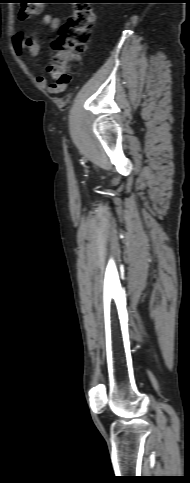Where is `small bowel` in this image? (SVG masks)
<instances>
[{
  "instance_id": "1",
  "label": "small bowel",
  "mask_w": 190,
  "mask_h": 483,
  "mask_svg": "<svg viewBox=\"0 0 190 483\" xmlns=\"http://www.w3.org/2000/svg\"><path fill=\"white\" fill-rule=\"evenodd\" d=\"M42 23L49 25V27L53 31H57L60 28L61 22L58 18L52 17L49 14H46L42 18ZM12 48L15 52L16 55L21 56L23 51L26 49L28 51V54L31 57L37 56L40 50V43L38 40L33 37V36H26L24 34L18 33L13 36L12 38ZM36 81L39 85L41 86H47L48 85V79L45 75H38L36 77ZM49 90L52 93H56L61 91L62 89H59L56 87L55 83L50 84Z\"/></svg>"
}]
</instances>
